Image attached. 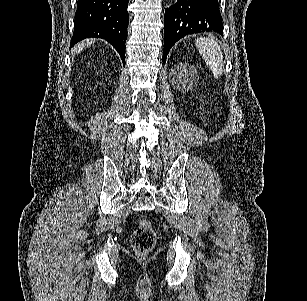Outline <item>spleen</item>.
Returning <instances> with one entry per match:
<instances>
[{
    "mask_svg": "<svg viewBox=\"0 0 307 301\" xmlns=\"http://www.w3.org/2000/svg\"><path fill=\"white\" fill-rule=\"evenodd\" d=\"M195 44L215 78H220L224 66L221 46H219L214 38H205V36L196 38Z\"/></svg>",
    "mask_w": 307,
    "mask_h": 301,
    "instance_id": "1",
    "label": "spleen"
}]
</instances>
